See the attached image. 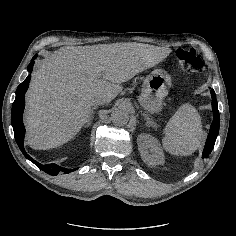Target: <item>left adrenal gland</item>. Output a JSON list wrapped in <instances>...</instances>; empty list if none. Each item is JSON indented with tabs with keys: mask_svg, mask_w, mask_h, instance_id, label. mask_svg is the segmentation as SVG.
<instances>
[{
	"mask_svg": "<svg viewBox=\"0 0 236 236\" xmlns=\"http://www.w3.org/2000/svg\"><path fill=\"white\" fill-rule=\"evenodd\" d=\"M142 115L146 118L148 126H152L155 124L154 121L151 118H149L147 115L145 114H142Z\"/></svg>",
	"mask_w": 236,
	"mask_h": 236,
	"instance_id": "left-adrenal-gland-1",
	"label": "left adrenal gland"
}]
</instances>
